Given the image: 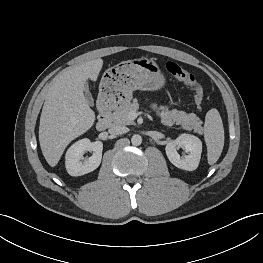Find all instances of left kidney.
<instances>
[{
	"label": "left kidney",
	"mask_w": 263,
	"mask_h": 263,
	"mask_svg": "<svg viewBox=\"0 0 263 263\" xmlns=\"http://www.w3.org/2000/svg\"><path fill=\"white\" fill-rule=\"evenodd\" d=\"M184 147L188 155L181 157L177 150ZM166 155L169 161L177 168L193 171L195 170L201 158L202 142L194 135L181 134L165 147Z\"/></svg>",
	"instance_id": "obj_1"
}]
</instances>
